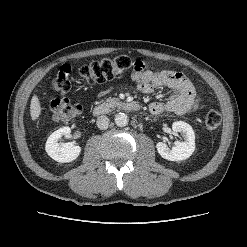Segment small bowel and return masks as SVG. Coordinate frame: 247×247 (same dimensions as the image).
<instances>
[{
	"instance_id": "1",
	"label": "small bowel",
	"mask_w": 247,
	"mask_h": 247,
	"mask_svg": "<svg viewBox=\"0 0 247 247\" xmlns=\"http://www.w3.org/2000/svg\"><path fill=\"white\" fill-rule=\"evenodd\" d=\"M132 79L137 83L139 91L145 94L151 93L154 88L166 87L172 90L168 100L155 101L149 105L152 114L171 112L182 115L196 111L199 106L200 98L193 84L180 72L164 70L153 74L150 71L134 69Z\"/></svg>"
}]
</instances>
